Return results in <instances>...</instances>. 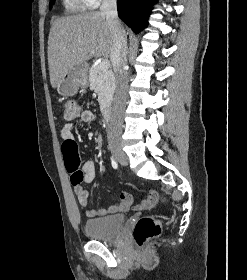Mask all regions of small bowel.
Returning <instances> with one entry per match:
<instances>
[{"instance_id": "1", "label": "small bowel", "mask_w": 247, "mask_h": 280, "mask_svg": "<svg viewBox=\"0 0 247 280\" xmlns=\"http://www.w3.org/2000/svg\"><path fill=\"white\" fill-rule=\"evenodd\" d=\"M81 121L85 123H91L95 121L96 115L91 110L83 111L79 114ZM75 123L68 120L61 130L62 139L65 141H75L74 137ZM84 174V183H89L94 179L95 176V166L92 162H85L81 167ZM75 196L79 204L85 208V215L89 218L102 217L106 215L117 214L119 212H124L130 209L132 206V198L129 194L122 192L120 194V200L114 205L108 207L107 209H92L88 208V191L83 189L82 191H74ZM158 199V194L154 190H150L146 197L137 205L138 209H146L152 207Z\"/></svg>"}]
</instances>
